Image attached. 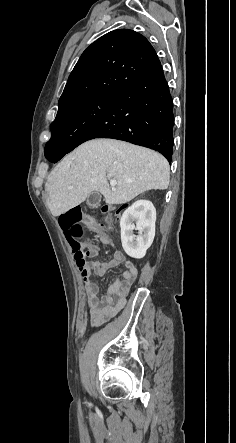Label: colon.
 <instances>
[{"label": "colon", "mask_w": 236, "mask_h": 443, "mask_svg": "<svg viewBox=\"0 0 236 443\" xmlns=\"http://www.w3.org/2000/svg\"><path fill=\"white\" fill-rule=\"evenodd\" d=\"M99 211L101 215V220L104 226L111 227L113 225L114 219L118 216V212L114 211L108 207H102L100 209H90L91 212L95 213ZM85 211L79 208H71L59 216V224L64 230L65 235L72 248V253L75 261L79 264H84L86 260L93 255L90 249H85L83 243L86 239L85 228L82 224L83 213ZM95 217H92L94 220ZM93 227V225H91ZM89 248V247H88Z\"/></svg>", "instance_id": "5ec220e1"}]
</instances>
